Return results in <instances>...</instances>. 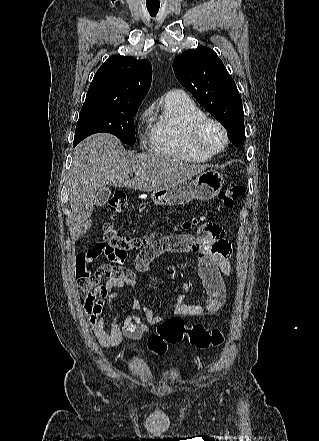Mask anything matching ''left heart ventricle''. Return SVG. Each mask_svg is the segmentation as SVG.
Segmentation results:
<instances>
[{
	"label": "left heart ventricle",
	"mask_w": 319,
	"mask_h": 441,
	"mask_svg": "<svg viewBox=\"0 0 319 441\" xmlns=\"http://www.w3.org/2000/svg\"><path fill=\"white\" fill-rule=\"evenodd\" d=\"M205 139L210 146L218 147L221 143L222 137L216 128L211 127L206 131Z\"/></svg>",
	"instance_id": "obj_1"
}]
</instances>
